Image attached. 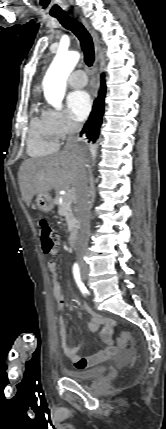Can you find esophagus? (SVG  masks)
Listing matches in <instances>:
<instances>
[{"instance_id": "34e87169", "label": "esophagus", "mask_w": 166, "mask_h": 429, "mask_svg": "<svg viewBox=\"0 0 166 429\" xmlns=\"http://www.w3.org/2000/svg\"><path fill=\"white\" fill-rule=\"evenodd\" d=\"M77 16V15H75ZM81 23L85 26V28L89 31V33L91 34L93 41H94V46H95V68L98 65L99 59H100V44H99V38L97 33L91 28V26L89 25V23L86 21L85 18H83L82 16H79L78 18Z\"/></svg>"}]
</instances>
